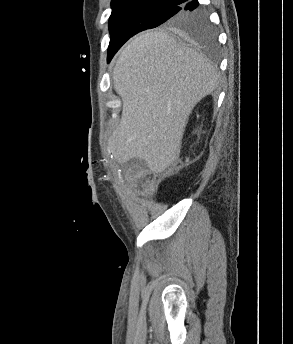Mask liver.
<instances>
[{"mask_svg":"<svg viewBox=\"0 0 293 344\" xmlns=\"http://www.w3.org/2000/svg\"><path fill=\"white\" fill-rule=\"evenodd\" d=\"M218 79L207 59L166 32L134 38L113 71L123 100L120 125L109 140L115 159L143 160L153 173L166 170L179 156L189 115Z\"/></svg>","mask_w":293,"mask_h":344,"instance_id":"1","label":"liver"}]
</instances>
